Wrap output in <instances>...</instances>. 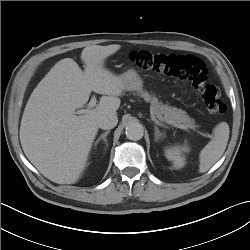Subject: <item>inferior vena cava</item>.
<instances>
[{
  "label": "inferior vena cava",
  "mask_w": 250,
  "mask_h": 250,
  "mask_svg": "<svg viewBox=\"0 0 250 250\" xmlns=\"http://www.w3.org/2000/svg\"><path fill=\"white\" fill-rule=\"evenodd\" d=\"M118 123V118L116 115H107V116H102L98 120V126L99 128L103 130H109L114 128Z\"/></svg>",
  "instance_id": "obj_1"
}]
</instances>
